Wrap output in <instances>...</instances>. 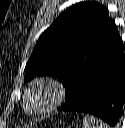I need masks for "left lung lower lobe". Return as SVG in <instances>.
Instances as JSON below:
<instances>
[{
	"instance_id": "left-lung-lower-lobe-1",
	"label": "left lung lower lobe",
	"mask_w": 125,
	"mask_h": 128,
	"mask_svg": "<svg viewBox=\"0 0 125 128\" xmlns=\"http://www.w3.org/2000/svg\"><path fill=\"white\" fill-rule=\"evenodd\" d=\"M125 104V54L119 39L88 72L73 102L60 108L66 112L92 114L117 126Z\"/></svg>"
}]
</instances>
